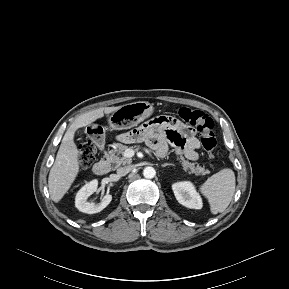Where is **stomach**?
<instances>
[{"instance_id": "0dacf381", "label": "stomach", "mask_w": 289, "mask_h": 289, "mask_svg": "<svg viewBox=\"0 0 289 289\" xmlns=\"http://www.w3.org/2000/svg\"><path fill=\"white\" fill-rule=\"evenodd\" d=\"M153 104L138 101L121 106L108 118V123L115 130L130 129L137 126L153 114Z\"/></svg>"}]
</instances>
